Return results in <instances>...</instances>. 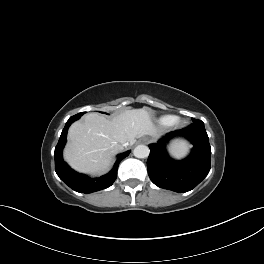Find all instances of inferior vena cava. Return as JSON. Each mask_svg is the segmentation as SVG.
Wrapping results in <instances>:
<instances>
[{
	"label": "inferior vena cava",
	"mask_w": 264,
	"mask_h": 264,
	"mask_svg": "<svg viewBox=\"0 0 264 264\" xmlns=\"http://www.w3.org/2000/svg\"><path fill=\"white\" fill-rule=\"evenodd\" d=\"M123 146L124 147L128 146V143L127 142L123 143Z\"/></svg>",
	"instance_id": "1"
}]
</instances>
